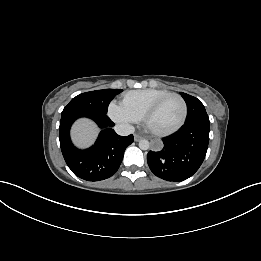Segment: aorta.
I'll list each match as a JSON object with an SVG mask.
<instances>
[{
	"label": "aorta",
	"instance_id": "1",
	"mask_svg": "<svg viewBox=\"0 0 261 261\" xmlns=\"http://www.w3.org/2000/svg\"><path fill=\"white\" fill-rule=\"evenodd\" d=\"M150 147V143L148 140L143 139L139 141V148L142 150H147Z\"/></svg>",
	"mask_w": 261,
	"mask_h": 261
}]
</instances>
